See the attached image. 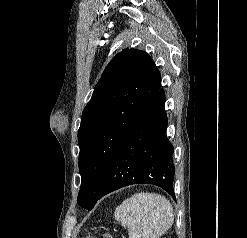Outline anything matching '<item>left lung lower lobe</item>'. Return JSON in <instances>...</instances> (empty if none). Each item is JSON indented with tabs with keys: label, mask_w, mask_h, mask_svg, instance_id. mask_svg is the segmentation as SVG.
Returning a JSON list of instances; mask_svg holds the SVG:
<instances>
[{
	"label": "left lung lower lobe",
	"mask_w": 247,
	"mask_h": 238,
	"mask_svg": "<svg viewBox=\"0 0 247 238\" xmlns=\"http://www.w3.org/2000/svg\"><path fill=\"white\" fill-rule=\"evenodd\" d=\"M165 93L160 89L151 106L110 163L100 185L98 199L132 184L149 183L174 198L172 163L174 147L165 133Z\"/></svg>",
	"instance_id": "left-lung-lower-lobe-1"
}]
</instances>
